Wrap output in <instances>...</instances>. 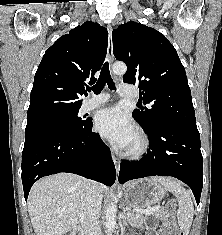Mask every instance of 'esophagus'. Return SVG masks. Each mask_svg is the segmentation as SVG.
I'll use <instances>...</instances> for the list:
<instances>
[{
  "mask_svg": "<svg viewBox=\"0 0 222 235\" xmlns=\"http://www.w3.org/2000/svg\"><path fill=\"white\" fill-rule=\"evenodd\" d=\"M108 30V49H107V57L109 60V63L112 65L113 60H114V54H113V41H112V27L110 25L107 26ZM112 160L114 162L115 168L117 173L119 172L120 169V160L117 158L114 153H112Z\"/></svg>",
  "mask_w": 222,
  "mask_h": 235,
  "instance_id": "obj_1",
  "label": "esophagus"
}]
</instances>
